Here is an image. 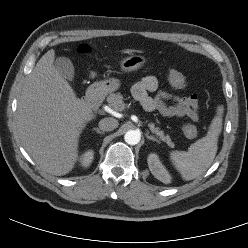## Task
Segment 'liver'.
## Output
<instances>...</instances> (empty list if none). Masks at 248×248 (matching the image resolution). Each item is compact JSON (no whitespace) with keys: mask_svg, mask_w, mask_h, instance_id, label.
Segmentation results:
<instances>
[{"mask_svg":"<svg viewBox=\"0 0 248 248\" xmlns=\"http://www.w3.org/2000/svg\"><path fill=\"white\" fill-rule=\"evenodd\" d=\"M54 58L51 49L29 74L18 102L17 130L34 162L61 176L74 168L80 134L93 112L57 71Z\"/></svg>","mask_w":248,"mask_h":248,"instance_id":"1","label":"liver"}]
</instances>
